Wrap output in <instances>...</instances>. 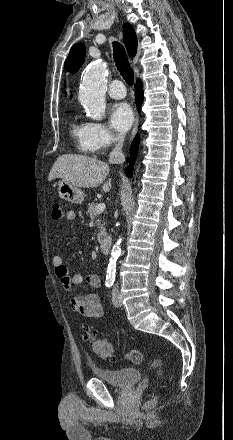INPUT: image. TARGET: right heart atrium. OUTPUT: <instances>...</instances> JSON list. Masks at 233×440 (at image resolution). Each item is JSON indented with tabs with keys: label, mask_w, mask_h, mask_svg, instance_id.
Returning a JSON list of instances; mask_svg holds the SVG:
<instances>
[{
	"label": "right heart atrium",
	"mask_w": 233,
	"mask_h": 440,
	"mask_svg": "<svg viewBox=\"0 0 233 440\" xmlns=\"http://www.w3.org/2000/svg\"><path fill=\"white\" fill-rule=\"evenodd\" d=\"M87 136L91 151L100 153L121 141V136L101 122H88Z\"/></svg>",
	"instance_id": "1"
}]
</instances>
